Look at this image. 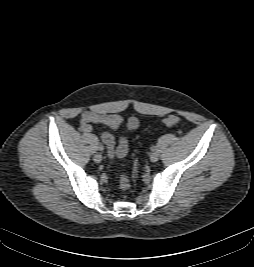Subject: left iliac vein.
Instances as JSON below:
<instances>
[{
  "mask_svg": "<svg viewBox=\"0 0 254 267\" xmlns=\"http://www.w3.org/2000/svg\"><path fill=\"white\" fill-rule=\"evenodd\" d=\"M150 160H151V162H157L159 160V153L158 152H153L150 155Z\"/></svg>",
  "mask_w": 254,
  "mask_h": 267,
  "instance_id": "obj_1",
  "label": "left iliac vein"
}]
</instances>
